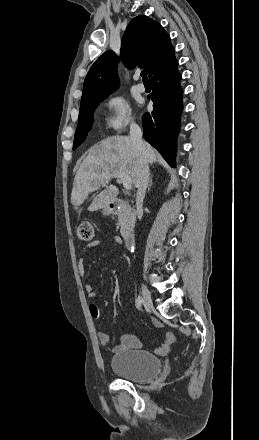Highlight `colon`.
<instances>
[{
  "mask_svg": "<svg viewBox=\"0 0 259 440\" xmlns=\"http://www.w3.org/2000/svg\"><path fill=\"white\" fill-rule=\"evenodd\" d=\"M77 237L82 242H89L94 238V228L90 222L83 221L77 226Z\"/></svg>",
  "mask_w": 259,
  "mask_h": 440,
  "instance_id": "5ec220e1",
  "label": "colon"
}]
</instances>
